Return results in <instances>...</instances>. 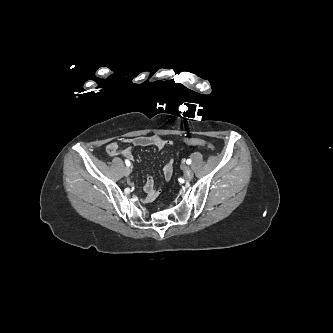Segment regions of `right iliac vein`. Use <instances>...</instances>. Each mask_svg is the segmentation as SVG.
<instances>
[{"label":"right iliac vein","instance_id":"63e3f726","mask_svg":"<svg viewBox=\"0 0 333 333\" xmlns=\"http://www.w3.org/2000/svg\"><path fill=\"white\" fill-rule=\"evenodd\" d=\"M130 173H131V169L128 168V167H125V169H124V175H125L126 177H128V176L130 175Z\"/></svg>","mask_w":333,"mask_h":333}]
</instances>
